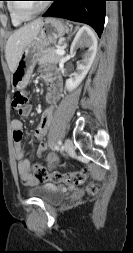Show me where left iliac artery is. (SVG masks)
<instances>
[{"mask_svg": "<svg viewBox=\"0 0 133 253\" xmlns=\"http://www.w3.org/2000/svg\"><path fill=\"white\" fill-rule=\"evenodd\" d=\"M61 144H62V142L59 140V141H58V145L55 147V149H56V150H59Z\"/></svg>", "mask_w": 133, "mask_h": 253, "instance_id": "1", "label": "left iliac artery"}]
</instances>
